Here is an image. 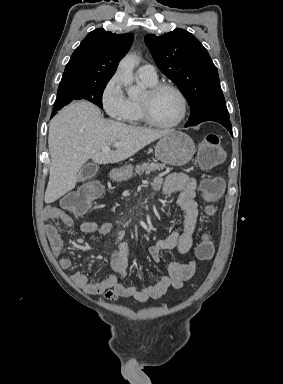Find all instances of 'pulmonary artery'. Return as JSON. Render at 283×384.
<instances>
[{"instance_id":"pulmonary-artery-1","label":"pulmonary artery","mask_w":283,"mask_h":384,"mask_svg":"<svg viewBox=\"0 0 283 384\" xmlns=\"http://www.w3.org/2000/svg\"><path fill=\"white\" fill-rule=\"evenodd\" d=\"M137 76L148 83H154L158 81V75L152 65L144 64L137 69Z\"/></svg>"}]
</instances>
